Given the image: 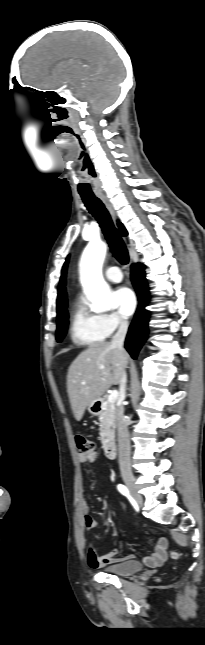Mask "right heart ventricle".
<instances>
[{
  "label": "right heart ventricle",
  "mask_w": 205,
  "mask_h": 645,
  "mask_svg": "<svg viewBox=\"0 0 205 645\" xmlns=\"http://www.w3.org/2000/svg\"><path fill=\"white\" fill-rule=\"evenodd\" d=\"M70 335L74 343L82 345L98 344L108 336L101 323V315L91 311L82 300L75 303Z\"/></svg>",
  "instance_id": "e07e8e85"
}]
</instances>
